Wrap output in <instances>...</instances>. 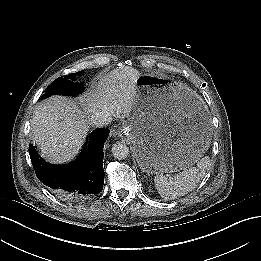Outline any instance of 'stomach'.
I'll use <instances>...</instances> for the list:
<instances>
[{
	"mask_svg": "<svg viewBox=\"0 0 261 261\" xmlns=\"http://www.w3.org/2000/svg\"><path fill=\"white\" fill-rule=\"evenodd\" d=\"M194 99L193 93L169 79L140 76L134 113L125 135L144 172L185 170L207 151L209 133L193 125Z\"/></svg>",
	"mask_w": 261,
	"mask_h": 261,
	"instance_id": "obj_1",
	"label": "stomach"
}]
</instances>
